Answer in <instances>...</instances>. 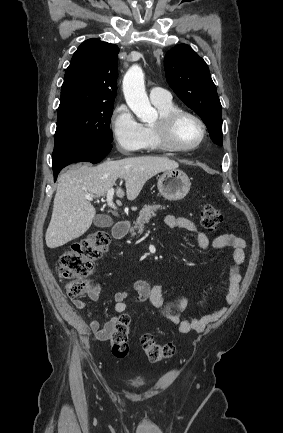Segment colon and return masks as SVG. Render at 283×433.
I'll list each match as a JSON object with an SVG mask.
<instances>
[{"label": "colon", "mask_w": 283, "mask_h": 433, "mask_svg": "<svg viewBox=\"0 0 283 433\" xmlns=\"http://www.w3.org/2000/svg\"><path fill=\"white\" fill-rule=\"evenodd\" d=\"M223 221L221 212L212 204L206 203L200 209V222L208 231H216ZM109 235L104 231H96L82 241L71 245L59 258L60 275L69 279L66 293L71 299L80 298L90 290L85 277L94 269L95 261L104 255L109 245ZM131 319L128 314H121L111 333L110 344L112 354L123 358L129 351V332ZM142 348L151 362H159L171 357L176 351L172 342L159 344L151 334L141 337Z\"/></svg>", "instance_id": "5ec220e1"}]
</instances>
